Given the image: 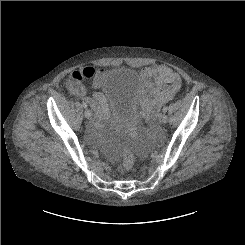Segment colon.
I'll list each match as a JSON object with an SVG mask.
<instances>
[{
  "label": "colon",
  "instance_id": "colon-1",
  "mask_svg": "<svg viewBox=\"0 0 245 245\" xmlns=\"http://www.w3.org/2000/svg\"><path fill=\"white\" fill-rule=\"evenodd\" d=\"M134 164V156L130 150H124L119 158L116 169L118 172L124 173L129 171Z\"/></svg>",
  "mask_w": 245,
  "mask_h": 245
}]
</instances>
